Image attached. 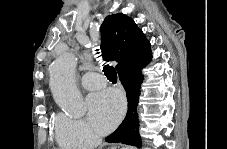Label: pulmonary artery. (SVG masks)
Here are the masks:
<instances>
[{
	"mask_svg": "<svg viewBox=\"0 0 227 149\" xmlns=\"http://www.w3.org/2000/svg\"><path fill=\"white\" fill-rule=\"evenodd\" d=\"M81 83L88 90H97L106 85V80L100 74L87 72L82 76Z\"/></svg>",
	"mask_w": 227,
	"mask_h": 149,
	"instance_id": "obj_1",
	"label": "pulmonary artery"
}]
</instances>
